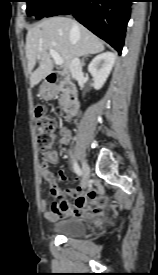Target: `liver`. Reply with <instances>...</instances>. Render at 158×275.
I'll return each mask as SVG.
<instances>
[{
  "instance_id": "6515ba94",
  "label": "liver",
  "mask_w": 158,
  "mask_h": 275,
  "mask_svg": "<svg viewBox=\"0 0 158 275\" xmlns=\"http://www.w3.org/2000/svg\"><path fill=\"white\" fill-rule=\"evenodd\" d=\"M50 49L63 58L67 70L74 57L97 54L105 48L96 35L71 18L57 16L42 20L26 36V57L32 87L53 70ZM37 62L39 66L33 71Z\"/></svg>"
}]
</instances>
